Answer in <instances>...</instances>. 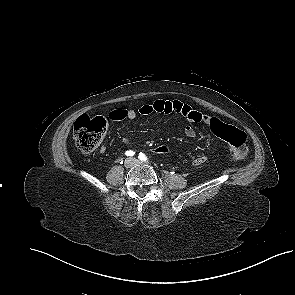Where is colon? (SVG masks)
<instances>
[{
    "label": "colon",
    "mask_w": 295,
    "mask_h": 295,
    "mask_svg": "<svg viewBox=\"0 0 295 295\" xmlns=\"http://www.w3.org/2000/svg\"><path fill=\"white\" fill-rule=\"evenodd\" d=\"M106 126L107 122L102 116H80L74 123V141L77 149L85 154L94 151L102 141ZM215 131L220 138L232 146L230 152L232 160L242 162L247 159L248 150L245 145L246 136L244 132L224 123H216ZM155 152L158 154L166 153L168 147L158 146Z\"/></svg>",
    "instance_id": "5ec220e1"
}]
</instances>
